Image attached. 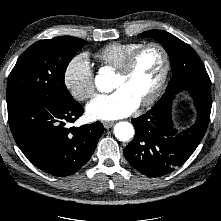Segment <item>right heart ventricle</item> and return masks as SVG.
Here are the masks:
<instances>
[{"instance_id": "1", "label": "right heart ventricle", "mask_w": 221, "mask_h": 221, "mask_svg": "<svg viewBox=\"0 0 221 221\" xmlns=\"http://www.w3.org/2000/svg\"><path fill=\"white\" fill-rule=\"evenodd\" d=\"M143 43L113 42L107 44L96 53V58L105 66L118 69L126 58Z\"/></svg>"}]
</instances>
